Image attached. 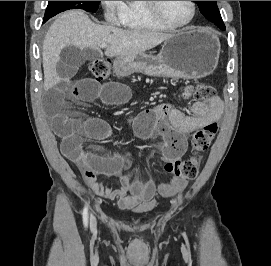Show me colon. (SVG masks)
I'll list each match as a JSON object with an SVG mask.
<instances>
[{
	"instance_id": "obj_1",
	"label": "colon",
	"mask_w": 271,
	"mask_h": 266,
	"mask_svg": "<svg viewBox=\"0 0 271 266\" xmlns=\"http://www.w3.org/2000/svg\"><path fill=\"white\" fill-rule=\"evenodd\" d=\"M90 72L96 81L106 79L110 73V62L107 59H96L90 64ZM193 95L198 102H209L215 96V89L212 85L201 82L192 89L184 92V96ZM218 132L217 122H211L198 129L192 136L191 156L187 159H176L165 164V171L174 178L180 180H191L198 173V159L201 153L205 152L213 142Z\"/></svg>"
}]
</instances>
